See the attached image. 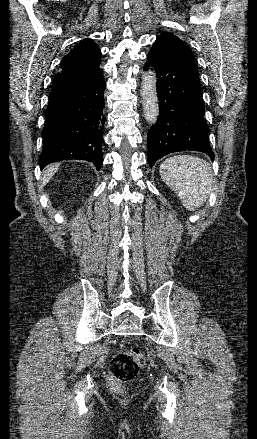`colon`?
<instances>
[{
  "mask_svg": "<svg viewBox=\"0 0 257 439\" xmlns=\"http://www.w3.org/2000/svg\"><path fill=\"white\" fill-rule=\"evenodd\" d=\"M144 363V354L138 347L116 353L110 363L109 385L118 392L122 391L123 383L133 380Z\"/></svg>",
  "mask_w": 257,
  "mask_h": 439,
  "instance_id": "5ec220e1",
  "label": "colon"
}]
</instances>
